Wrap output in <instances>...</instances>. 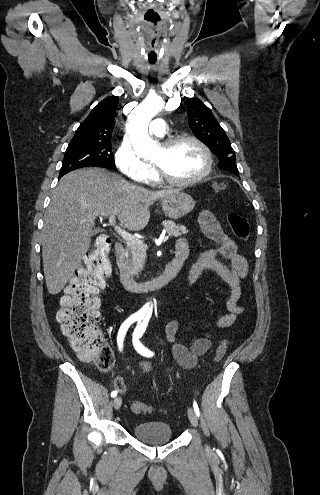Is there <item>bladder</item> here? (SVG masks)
Masks as SVG:
<instances>
[{
    "instance_id": "bladder-1",
    "label": "bladder",
    "mask_w": 320,
    "mask_h": 495,
    "mask_svg": "<svg viewBox=\"0 0 320 495\" xmlns=\"http://www.w3.org/2000/svg\"><path fill=\"white\" fill-rule=\"evenodd\" d=\"M136 438L149 444L167 443L172 439V429L166 422L147 421L133 428Z\"/></svg>"
}]
</instances>
